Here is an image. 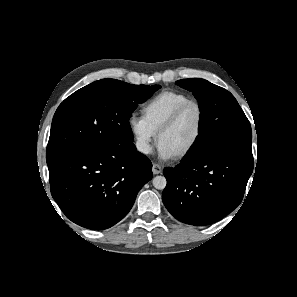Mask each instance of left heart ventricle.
Segmentation results:
<instances>
[{
    "label": "left heart ventricle",
    "instance_id": "obj_1",
    "mask_svg": "<svg viewBox=\"0 0 297 297\" xmlns=\"http://www.w3.org/2000/svg\"><path fill=\"white\" fill-rule=\"evenodd\" d=\"M199 124V115L195 107H188L177 123L165 132L159 142L165 145L174 156L183 151L194 139Z\"/></svg>",
    "mask_w": 297,
    "mask_h": 297
}]
</instances>
